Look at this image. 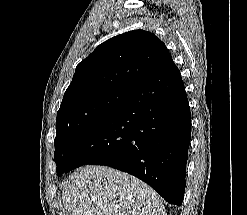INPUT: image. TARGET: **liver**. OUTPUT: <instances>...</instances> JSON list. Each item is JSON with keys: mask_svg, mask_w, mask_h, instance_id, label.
I'll return each instance as SVG.
<instances>
[{"mask_svg": "<svg viewBox=\"0 0 247 215\" xmlns=\"http://www.w3.org/2000/svg\"><path fill=\"white\" fill-rule=\"evenodd\" d=\"M62 199L64 215H166L150 186L105 166H86L70 175Z\"/></svg>", "mask_w": 247, "mask_h": 215, "instance_id": "obj_1", "label": "liver"}]
</instances>
